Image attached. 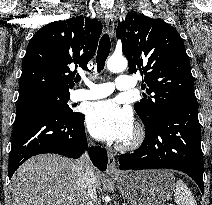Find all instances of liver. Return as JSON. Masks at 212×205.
<instances>
[{
	"label": "liver",
	"mask_w": 212,
	"mask_h": 205,
	"mask_svg": "<svg viewBox=\"0 0 212 205\" xmlns=\"http://www.w3.org/2000/svg\"><path fill=\"white\" fill-rule=\"evenodd\" d=\"M76 162L41 154L22 164L11 180L13 205H78ZM96 187L101 181L95 173Z\"/></svg>",
	"instance_id": "obj_1"
}]
</instances>
